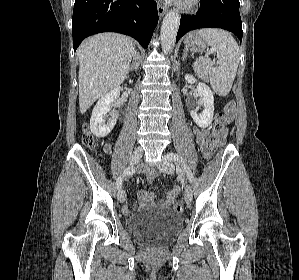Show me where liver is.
I'll list each match as a JSON object with an SVG mask.
<instances>
[{
  "label": "liver",
  "mask_w": 299,
  "mask_h": 280,
  "mask_svg": "<svg viewBox=\"0 0 299 280\" xmlns=\"http://www.w3.org/2000/svg\"><path fill=\"white\" fill-rule=\"evenodd\" d=\"M135 53L133 40L118 33L97 34L80 45L77 55L81 114L125 80Z\"/></svg>",
  "instance_id": "obj_1"
}]
</instances>
